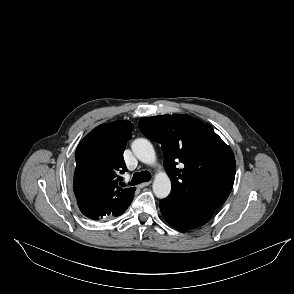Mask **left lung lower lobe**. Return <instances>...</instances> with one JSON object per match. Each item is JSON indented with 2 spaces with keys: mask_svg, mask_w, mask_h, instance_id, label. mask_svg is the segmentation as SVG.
Wrapping results in <instances>:
<instances>
[{
  "mask_svg": "<svg viewBox=\"0 0 294 294\" xmlns=\"http://www.w3.org/2000/svg\"><path fill=\"white\" fill-rule=\"evenodd\" d=\"M160 210L170 225L181 230H190L206 224L214 213V210L206 209L195 201L172 195L160 201Z\"/></svg>",
  "mask_w": 294,
  "mask_h": 294,
  "instance_id": "obj_1",
  "label": "left lung lower lobe"
}]
</instances>
